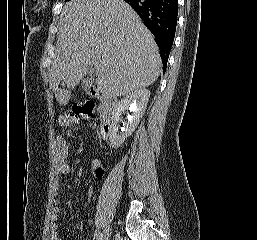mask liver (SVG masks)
Masks as SVG:
<instances>
[{"label": "liver", "instance_id": "liver-1", "mask_svg": "<svg viewBox=\"0 0 257 240\" xmlns=\"http://www.w3.org/2000/svg\"><path fill=\"white\" fill-rule=\"evenodd\" d=\"M56 46L49 79L60 105L69 102L71 89L96 62L100 65L97 89L107 96H125L145 88L161 73L153 35L123 0L66 3L60 14Z\"/></svg>", "mask_w": 257, "mask_h": 240}]
</instances>
